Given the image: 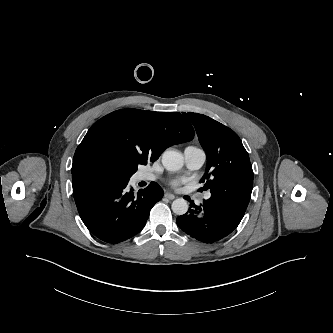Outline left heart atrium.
I'll use <instances>...</instances> for the list:
<instances>
[{
    "label": "left heart atrium",
    "instance_id": "1",
    "mask_svg": "<svg viewBox=\"0 0 333 333\" xmlns=\"http://www.w3.org/2000/svg\"><path fill=\"white\" fill-rule=\"evenodd\" d=\"M181 183H182V180H179V179L171 181V185L175 188L179 187Z\"/></svg>",
    "mask_w": 333,
    "mask_h": 333
}]
</instances>
